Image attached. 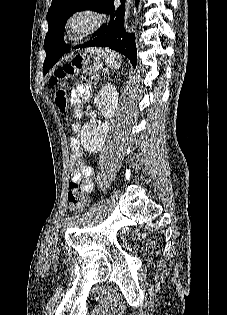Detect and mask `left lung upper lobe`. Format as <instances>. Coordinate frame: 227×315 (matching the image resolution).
Returning <instances> with one entry per match:
<instances>
[{"label":"left lung upper lobe","mask_w":227,"mask_h":315,"mask_svg":"<svg viewBox=\"0 0 227 315\" xmlns=\"http://www.w3.org/2000/svg\"><path fill=\"white\" fill-rule=\"evenodd\" d=\"M109 0H52L48 10L47 20L49 30L44 45L52 39L63 40L64 25L67 19L77 11L92 9L104 11ZM44 71V70H43Z\"/></svg>","instance_id":"5c2ea615"}]
</instances>
